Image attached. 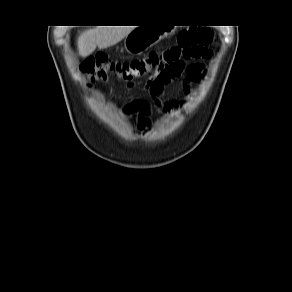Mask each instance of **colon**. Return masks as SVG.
I'll use <instances>...</instances> for the list:
<instances>
[{
	"instance_id": "5ec220e1",
	"label": "colon",
	"mask_w": 292,
	"mask_h": 292,
	"mask_svg": "<svg viewBox=\"0 0 292 292\" xmlns=\"http://www.w3.org/2000/svg\"><path fill=\"white\" fill-rule=\"evenodd\" d=\"M214 35L210 29L191 27L178 36L177 45L161 52H152L144 58L132 61H113L106 55H96L86 60L81 66V74L87 86L99 81H108L111 77L133 84L147 77L146 87L153 96L161 86L171 79L187 72V62L204 58L207 46L213 41ZM134 108L145 116L148 110L146 101H138Z\"/></svg>"
}]
</instances>
